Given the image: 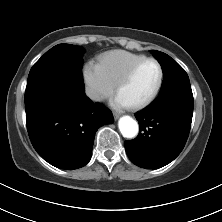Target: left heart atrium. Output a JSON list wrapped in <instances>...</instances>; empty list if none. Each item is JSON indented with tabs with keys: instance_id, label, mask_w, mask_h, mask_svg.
<instances>
[{
	"instance_id": "39dd6f15",
	"label": "left heart atrium",
	"mask_w": 222,
	"mask_h": 222,
	"mask_svg": "<svg viewBox=\"0 0 222 222\" xmlns=\"http://www.w3.org/2000/svg\"><path fill=\"white\" fill-rule=\"evenodd\" d=\"M111 104L114 108L125 109L130 107V104L119 94L115 95L112 99Z\"/></svg>"
}]
</instances>
